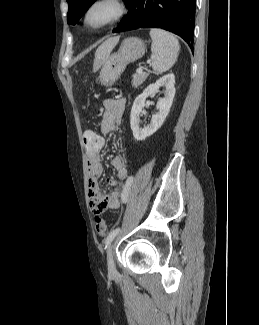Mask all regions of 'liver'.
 <instances>
[{"mask_svg": "<svg viewBox=\"0 0 259 325\" xmlns=\"http://www.w3.org/2000/svg\"><path fill=\"white\" fill-rule=\"evenodd\" d=\"M119 37H112L102 43L95 52L93 71L96 72L109 57L113 48L117 45Z\"/></svg>", "mask_w": 259, "mask_h": 325, "instance_id": "liver-1", "label": "liver"}]
</instances>
